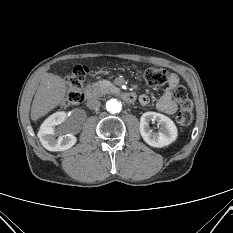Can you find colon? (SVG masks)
Segmentation results:
<instances>
[{
  "label": "colon",
  "instance_id": "1",
  "mask_svg": "<svg viewBox=\"0 0 233 233\" xmlns=\"http://www.w3.org/2000/svg\"><path fill=\"white\" fill-rule=\"evenodd\" d=\"M86 67L79 65L68 75L66 79L67 93L64 106H73L83 101V86L86 80ZM144 79L149 86H163L169 82L167 70L160 67H149L144 71ZM173 99L179 104L180 111L177 121L182 129L188 127L192 121V102L187 89L183 85H176L171 89Z\"/></svg>",
  "mask_w": 233,
  "mask_h": 233
}]
</instances>
